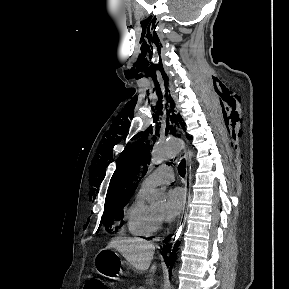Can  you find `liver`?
I'll return each mask as SVG.
<instances>
[{"label":"liver","mask_w":289,"mask_h":289,"mask_svg":"<svg viewBox=\"0 0 289 289\" xmlns=\"http://www.w3.org/2000/svg\"><path fill=\"white\" fill-rule=\"evenodd\" d=\"M106 249H115L139 271H146L151 265L155 247L145 240L134 238H114L111 240ZM156 265L153 264L151 272H155Z\"/></svg>","instance_id":"obj_1"}]
</instances>
